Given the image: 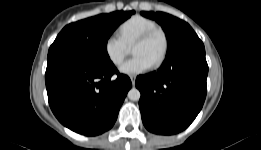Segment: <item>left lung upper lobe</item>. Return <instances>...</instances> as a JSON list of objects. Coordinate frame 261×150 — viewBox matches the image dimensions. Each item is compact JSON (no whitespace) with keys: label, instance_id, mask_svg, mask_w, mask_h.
Masks as SVG:
<instances>
[{"label":"left lung upper lobe","instance_id":"1","mask_svg":"<svg viewBox=\"0 0 261 150\" xmlns=\"http://www.w3.org/2000/svg\"><path fill=\"white\" fill-rule=\"evenodd\" d=\"M141 14L147 18L158 22L166 33L168 41V50L171 51L186 37L196 34L194 30L185 21L163 12H145Z\"/></svg>","mask_w":261,"mask_h":150}]
</instances>
